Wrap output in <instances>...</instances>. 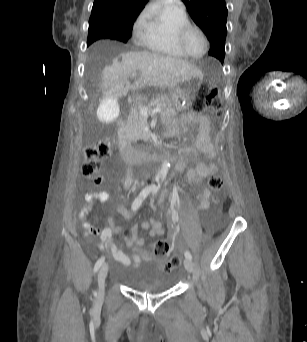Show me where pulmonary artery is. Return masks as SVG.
<instances>
[{
  "instance_id": "obj_1",
  "label": "pulmonary artery",
  "mask_w": 307,
  "mask_h": 342,
  "mask_svg": "<svg viewBox=\"0 0 307 342\" xmlns=\"http://www.w3.org/2000/svg\"><path fill=\"white\" fill-rule=\"evenodd\" d=\"M164 8H155L153 14L159 19L161 14L168 9H183L185 8L184 1H162Z\"/></svg>"
}]
</instances>
